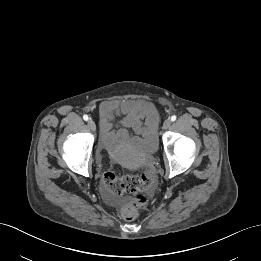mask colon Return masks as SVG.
I'll list each match as a JSON object with an SVG mask.
<instances>
[{"mask_svg": "<svg viewBox=\"0 0 261 261\" xmlns=\"http://www.w3.org/2000/svg\"><path fill=\"white\" fill-rule=\"evenodd\" d=\"M103 183L107 191L112 195H131L121 207V215L126 220H133L138 215V210L145 204L142 192L149 191L154 184V174L144 172L140 175L119 176L111 170L103 175Z\"/></svg>", "mask_w": 261, "mask_h": 261, "instance_id": "5ec220e1", "label": "colon"}]
</instances>
